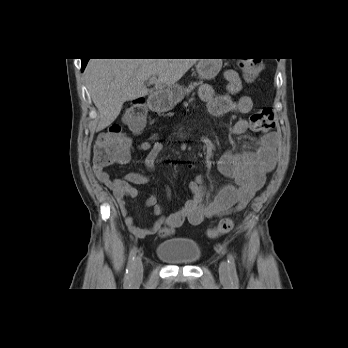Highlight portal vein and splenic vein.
<instances>
[{"label":"portal vein and splenic vein","instance_id":"obj_1","mask_svg":"<svg viewBox=\"0 0 348 348\" xmlns=\"http://www.w3.org/2000/svg\"><path fill=\"white\" fill-rule=\"evenodd\" d=\"M155 82H156V78L155 77H152V78L149 79V85H153V84H155Z\"/></svg>","mask_w":348,"mask_h":348}]
</instances>
